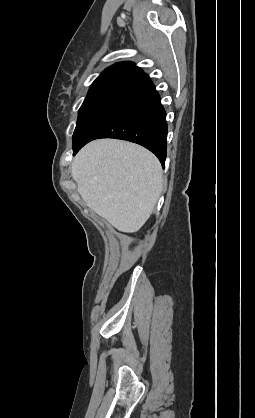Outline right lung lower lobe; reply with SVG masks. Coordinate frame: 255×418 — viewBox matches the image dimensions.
Returning a JSON list of instances; mask_svg holds the SVG:
<instances>
[{
    "mask_svg": "<svg viewBox=\"0 0 255 418\" xmlns=\"http://www.w3.org/2000/svg\"><path fill=\"white\" fill-rule=\"evenodd\" d=\"M98 138H116L140 144L153 152L164 167L167 154L166 113L150 79L126 87L113 96L73 143V154Z\"/></svg>",
    "mask_w": 255,
    "mask_h": 418,
    "instance_id": "98d812e1",
    "label": "right lung lower lobe"
}]
</instances>
